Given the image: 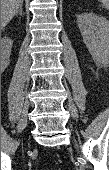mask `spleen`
Returning <instances> with one entry per match:
<instances>
[{
	"label": "spleen",
	"mask_w": 109,
	"mask_h": 170,
	"mask_svg": "<svg viewBox=\"0 0 109 170\" xmlns=\"http://www.w3.org/2000/svg\"><path fill=\"white\" fill-rule=\"evenodd\" d=\"M98 1H100L101 3H103V5H104L105 7H108V6H109V0H98Z\"/></svg>",
	"instance_id": "obj_1"
}]
</instances>
